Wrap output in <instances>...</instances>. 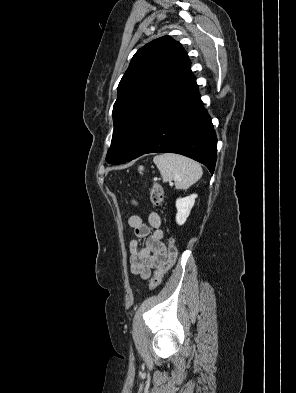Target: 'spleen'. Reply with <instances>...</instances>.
<instances>
[{
  "mask_svg": "<svg viewBox=\"0 0 296 393\" xmlns=\"http://www.w3.org/2000/svg\"><path fill=\"white\" fill-rule=\"evenodd\" d=\"M164 182L174 181L177 189H188L203 174L196 161L173 153L157 155L153 158Z\"/></svg>",
  "mask_w": 296,
  "mask_h": 393,
  "instance_id": "spleen-1",
  "label": "spleen"
}]
</instances>
